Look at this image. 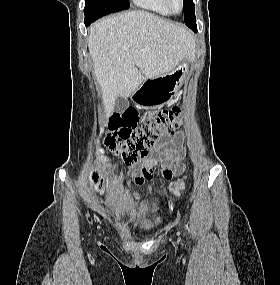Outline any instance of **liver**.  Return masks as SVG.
<instances>
[{"mask_svg": "<svg viewBox=\"0 0 280 285\" xmlns=\"http://www.w3.org/2000/svg\"><path fill=\"white\" fill-rule=\"evenodd\" d=\"M87 40L107 113L118 96L126 99L146 79L168 73L195 47L185 27L139 10L94 23Z\"/></svg>", "mask_w": 280, "mask_h": 285, "instance_id": "obj_1", "label": "liver"}]
</instances>
